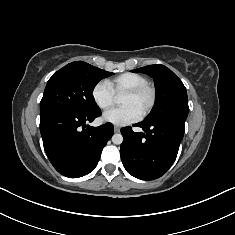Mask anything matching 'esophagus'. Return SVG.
<instances>
[{"label": "esophagus", "mask_w": 235, "mask_h": 235, "mask_svg": "<svg viewBox=\"0 0 235 235\" xmlns=\"http://www.w3.org/2000/svg\"><path fill=\"white\" fill-rule=\"evenodd\" d=\"M114 132H115V133L120 132V127H119V126H114Z\"/></svg>", "instance_id": "34e87169"}]
</instances>
